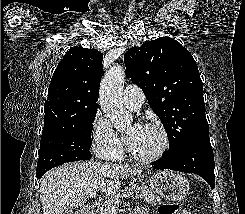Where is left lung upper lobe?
I'll return each mask as SVG.
<instances>
[{"mask_svg":"<svg viewBox=\"0 0 245 214\" xmlns=\"http://www.w3.org/2000/svg\"><path fill=\"white\" fill-rule=\"evenodd\" d=\"M126 75L144 92L169 138V152L198 137H209L203 83L191 53L162 37L130 48Z\"/></svg>","mask_w":245,"mask_h":214,"instance_id":"1","label":"left lung upper lobe"}]
</instances>
